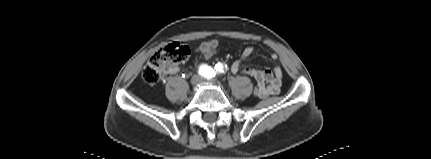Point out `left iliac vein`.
Returning <instances> with one entry per match:
<instances>
[{"label": "left iliac vein", "instance_id": "left-iliac-vein-1", "mask_svg": "<svg viewBox=\"0 0 431 159\" xmlns=\"http://www.w3.org/2000/svg\"><path fill=\"white\" fill-rule=\"evenodd\" d=\"M203 82H205V83H214V82H216V79H212V80H209V81L203 80Z\"/></svg>", "mask_w": 431, "mask_h": 159}]
</instances>
